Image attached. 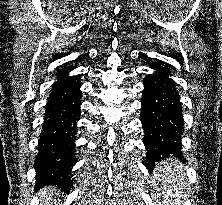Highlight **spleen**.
<instances>
[{
	"instance_id": "3e777b00",
	"label": "spleen",
	"mask_w": 222,
	"mask_h": 205,
	"mask_svg": "<svg viewBox=\"0 0 222 205\" xmlns=\"http://www.w3.org/2000/svg\"><path fill=\"white\" fill-rule=\"evenodd\" d=\"M152 184L165 205H181L180 201L186 199L183 165L176 159L163 161L156 167Z\"/></svg>"
}]
</instances>
